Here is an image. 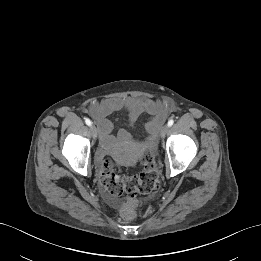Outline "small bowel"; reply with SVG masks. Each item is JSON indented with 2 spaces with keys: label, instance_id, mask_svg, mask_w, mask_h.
<instances>
[{
  "label": "small bowel",
  "instance_id": "c3829d8e",
  "mask_svg": "<svg viewBox=\"0 0 261 261\" xmlns=\"http://www.w3.org/2000/svg\"><path fill=\"white\" fill-rule=\"evenodd\" d=\"M125 112L127 122L133 125L143 113L150 115L146 130L154 138L168 117L171 107L160 101L138 97H113L103 101H93L87 107L88 114L96 121L105 145H110L113 138V123L108 117L116 112ZM123 136H126L123 134Z\"/></svg>",
  "mask_w": 261,
  "mask_h": 261
}]
</instances>
